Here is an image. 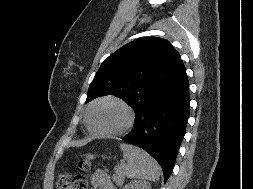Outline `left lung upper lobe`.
I'll return each instance as SVG.
<instances>
[{
    "mask_svg": "<svg viewBox=\"0 0 253 189\" xmlns=\"http://www.w3.org/2000/svg\"><path fill=\"white\" fill-rule=\"evenodd\" d=\"M184 68L179 53L167 40L136 39L101 64L89 86L86 103L100 96L115 95L130 104L136 114Z\"/></svg>",
    "mask_w": 253,
    "mask_h": 189,
    "instance_id": "left-lung-upper-lobe-1",
    "label": "left lung upper lobe"
}]
</instances>
